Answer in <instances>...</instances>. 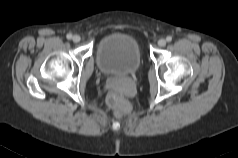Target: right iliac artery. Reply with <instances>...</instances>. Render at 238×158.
I'll return each mask as SVG.
<instances>
[{"label":"right iliac artery","mask_w":238,"mask_h":158,"mask_svg":"<svg viewBox=\"0 0 238 158\" xmlns=\"http://www.w3.org/2000/svg\"><path fill=\"white\" fill-rule=\"evenodd\" d=\"M67 39H71L72 38V34L71 33H69V34H67Z\"/></svg>","instance_id":"obj_1"}]
</instances>
